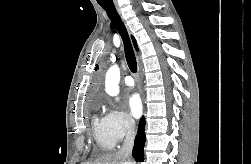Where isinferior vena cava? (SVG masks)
Returning a JSON list of instances; mask_svg holds the SVG:
<instances>
[{
  "mask_svg": "<svg viewBox=\"0 0 251 164\" xmlns=\"http://www.w3.org/2000/svg\"><path fill=\"white\" fill-rule=\"evenodd\" d=\"M126 128H127L126 137L122 145V148L119 151V154L124 159H129L135 139V122L132 118H129L127 120Z\"/></svg>",
  "mask_w": 251,
  "mask_h": 164,
  "instance_id": "inferior-vena-cava-1",
  "label": "inferior vena cava"
}]
</instances>
